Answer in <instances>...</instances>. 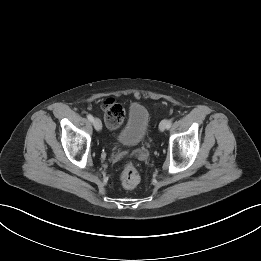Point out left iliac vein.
<instances>
[{
  "label": "left iliac vein",
  "instance_id": "4c4485c4",
  "mask_svg": "<svg viewBox=\"0 0 261 261\" xmlns=\"http://www.w3.org/2000/svg\"><path fill=\"white\" fill-rule=\"evenodd\" d=\"M169 120H162L159 124V130L160 131H165L167 129V124Z\"/></svg>",
  "mask_w": 261,
  "mask_h": 261
}]
</instances>
